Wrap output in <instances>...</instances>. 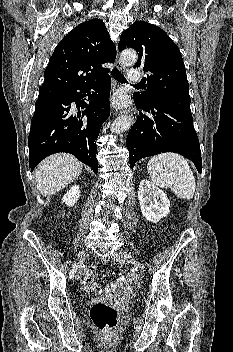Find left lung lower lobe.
Segmentation results:
<instances>
[{
	"label": "left lung lower lobe",
	"mask_w": 233,
	"mask_h": 352,
	"mask_svg": "<svg viewBox=\"0 0 233 352\" xmlns=\"http://www.w3.org/2000/svg\"><path fill=\"white\" fill-rule=\"evenodd\" d=\"M135 104L151 115L140 114L128 133L126 146L131 169L144 157L174 152L191 160L201 173L200 144L192 114L161 102L145 104L135 99Z\"/></svg>",
	"instance_id": "obj_1"
}]
</instances>
